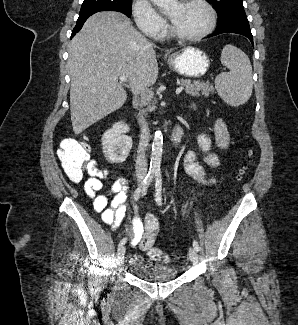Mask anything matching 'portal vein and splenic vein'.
I'll return each instance as SVG.
<instances>
[{
  "label": "portal vein and splenic vein",
  "mask_w": 298,
  "mask_h": 325,
  "mask_svg": "<svg viewBox=\"0 0 298 325\" xmlns=\"http://www.w3.org/2000/svg\"><path fill=\"white\" fill-rule=\"evenodd\" d=\"M119 80L120 82H127V76H119ZM185 86H183V84H181V86H177L176 90H175V94H179V92H182V90H184Z\"/></svg>",
  "instance_id": "portal-vein-and-splenic-vein-1"
}]
</instances>
